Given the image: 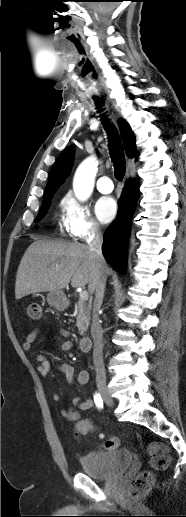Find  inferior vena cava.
Here are the masks:
<instances>
[{"label":"inferior vena cava","mask_w":186,"mask_h":517,"mask_svg":"<svg viewBox=\"0 0 186 517\" xmlns=\"http://www.w3.org/2000/svg\"><path fill=\"white\" fill-rule=\"evenodd\" d=\"M86 241L96 260V267L98 269L95 281V299L93 303L91 324V336L94 343L93 363L96 372V379L105 380L106 373L103 362V330L100 325L98 312L103 301L107 275L104 272L105 260L102 255V233L97 225H94L91 229L90 235Z\"/></svg>","instance_id":"602c4592"}]
</instances>
